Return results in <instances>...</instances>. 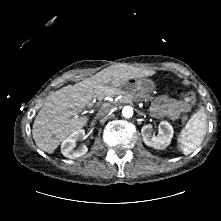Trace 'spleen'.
<instances>
[{
  "mask_svg": "<svg viewBox=\"0 0 221 221\" xmlns=\"http://www.w3.org/2000/svg\"><path fill=\"white\" fill-rule=\"evenodd\" d=\"M207 115L204 107H201L187 122L186 126L180 132L178 142L179 148L185 155L193 152L199 147L207 132Z\"/></svg>",
  "mask_w": 221,
  "mask_h": 221,
  "instance_id": "3e777b00",
  "label": "spleen"
}]
</instances>
